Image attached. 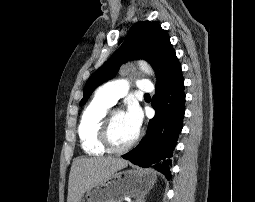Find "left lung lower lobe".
Instances as JSON below:
<instances>
[{"label":"left lung lower lobe","mask_w":255,"mask_h":202,"mask_svg":"<svg viewBox=\"0 0 255 202\" xmlns=\"http://www.w3.org/2000/svg\"><path fill=\"white\" fill-rule=\"evenodd\" d=\"M152 104L156 113L149 121L146 136L123 158L141 167L154 168L170 179L171 158L185 113L182 72L165 87L156 89Z\"/></svg>","instance_id":"obj_1"}]
</instances>
